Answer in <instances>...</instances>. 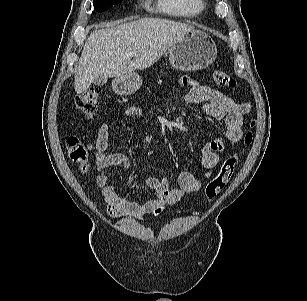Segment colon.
I'll return each mask as SVG.
<instances>
[{
    "label": "colon",
    "instance_id": "obj_1",
    "mask_svg": "<svg viewBox=\"0 0 307 301\" xmlns=\"http://www.w3.org/2000/svg\"><path fill=\"white\" fill-rule=\"evenodd\" d=\"M213 79L217 85L224 88H233L236 84L235 79L222 70H215L213 72ZM99 103L100 90L98 88H90L76 97V106L87 118L96 114ZM254 125L255 122L253 121L251 127ZM252 139V132H247L245 143L249 145ZM67 148L71 159L79 164L82 169H85L92 147L80 138L71 137L67 140ZM238 163L239 157L237 155L229 156L224 160L218 174L207 183L204 189V194L208 200H213L219 195L231 178Z\"/></svg>",
    "mask_w": 307,
    "mask_h": 301
}]
</instances>
